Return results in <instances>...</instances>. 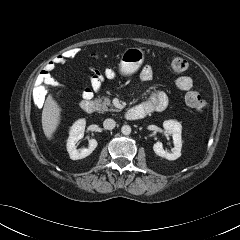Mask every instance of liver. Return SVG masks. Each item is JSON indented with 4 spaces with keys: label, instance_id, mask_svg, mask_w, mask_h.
I'll return each mask as SVG.
<instances>
[{
    "label": "liver",
    "instance_id": "6515ba94",
    "mask_svg": "<svg viewBox=\"0 0 240 240\" xmlns=\"http://www.w3.org/2000/svg\"><path fill=\"white\" fill-rule=\"evenodd\" d=\"M61 111L62 109L54 100L52 94H49L42 110V128L48 140H52L53 134L60 124Z\"/></svg>",
    "mask_w": 240,
    "mask_h": 240
}]
</instances>
